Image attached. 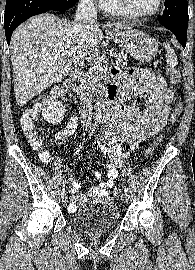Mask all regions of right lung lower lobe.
Masks as SVG:
<instances>
[{
    "label": "right lung lower lobe",
    "mask_w": 195,
    "mask_h": 270,
    "mask_svg": "<svg viewBox=\"0 0 195 270\" xmlns=\"http://www.w3.org/2000/svg\"><path fill=\"white\" fill-rule=\"evenodd\" d=\"M77 1L72 0L69 3L73 6ZM61 3L62 0H7L4 28L8 45L14 29L28 18L46 12L65 13L70 9L58 10Z\"/></svg>",
    "instance_id": "98d812e1"
}]
</instances>
